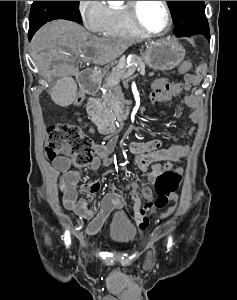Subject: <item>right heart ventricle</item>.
Here are the masks:
<instances>
[{
	"label": "right heart ventricle",
	"mask_w": 237,
	"mask_h": 300,
	"mask_svg": "<svg viewBox=\"0 0 237 300\" xmlns=\"http://www.w3.org/2000/svg\"><path fill=\"white\" fill-rule=\"evenodd\" d=\"M110 25L108 34L116 36H139L141 32L132 23L126 3L109 8Z\"/></svg>",
	"instance_id": "obj_1"
}]
</instances>
